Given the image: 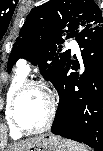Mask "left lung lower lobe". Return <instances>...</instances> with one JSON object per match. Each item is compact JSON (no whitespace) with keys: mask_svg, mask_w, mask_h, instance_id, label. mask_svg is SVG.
I'll use <instances>...</instances> for the list:
<instances>
[{"mask_svg":"<svg viewBox=\"0 0 103 151\" xmlns=\"http://www.w3.org/2000/svg\"><path fill=\"white\" fill-rule=\"evenodd\" d=\"M76 40L83 48L85 71L69 73L75 64L69 59L55 78L60 102L51 131L103 151V28L85 29Z\"/></svg>","mask_w":103,"mask_h":151,"instance_id":"1","label":"left lung lower lobe"}]
</instances>
